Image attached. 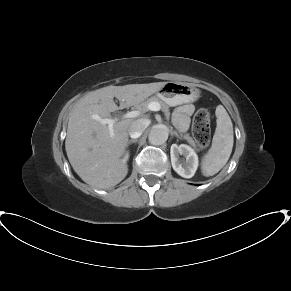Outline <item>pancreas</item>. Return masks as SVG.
Listing matches in <instances>:
<instances>
[{
  "label": "pancreas",
  "mask_w": 291,
  "mask_h": 291,
  "mask_svg": "<svg viewBox=\"0 0 291 291\" xmlns=\"http://www.w3.org/2000/svg\"><path fill=\"white\" fill-rule=\"evenodd\" d=\"M151 102H158L161 105L162 111L165 113L166 116H169V107L167 104H165L163 101H161L158 97L156 96H152L150 98H148L147 100L143 101L142 103H140L139 105H137V109L141 110V111H147V106L149 103ZM181 137L183 139H185L190 145L194 146V147H198V149L202 148V145L197 144V141L194 140L191 136H189V134H181Z\"/></svg>",
  "instance_id": "cf45deb5"
}]
</instances>
